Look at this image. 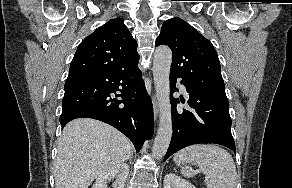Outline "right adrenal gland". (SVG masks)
I'll return each mask as SVG.
<instances>
[{"label": "right adrenal gland", "mask_w": 292, "mask_h": 188, "mask_svg": "<svg viewBox=\"0 0 292 188\" xmlns=\"http://www.w3.org/2000/svg\"><path fill=\"white\" fill-rule=\"evenodd\" d=\"M132 158H133V154L130 155V157L128 158L129 159V162L130 164L132 163Z\"/></svg>", "instance_id": "2a0ac1e0"}]
</instances>
